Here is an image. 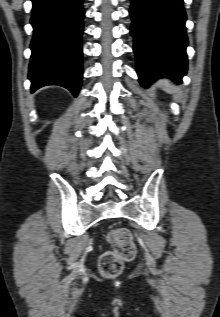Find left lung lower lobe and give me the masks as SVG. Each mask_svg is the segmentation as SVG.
<instances>
[{"instance_id":"0a47b994","label":"left lung lower lobe","mask_w":220,"mask_h":317,"mask_svg":"<svg viewBox=\"0 0 220 317\" xmlns=\"http://www.w3.org/2000/svg\"><path fill=\"white\" fill-rule=\"evenodd\" d=\"M130 15L141 85L162 77L181 83L188 44L183 0H131Z\"/></svg>"}]
</instances>
